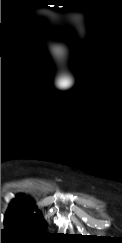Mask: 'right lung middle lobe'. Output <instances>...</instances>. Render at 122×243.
Segmentation results:
<instances>
[{"mask_svg": "<svg viewBox=\"0 0 122 243\" xmlns=\"http://www.w3.org/2000/svg\"><path fill=\"white\" fill-rule=\"evenodd\" d=\"M34 211V207L12 202L4 217L5 228L3 231L13 235L41 238L47 223L38 210L36 213Z\"/></svg>", "mask_w": 122, "mask_h": 243, "instance_id": "1", "label": "right lung middle lobe"}]
</instances>
